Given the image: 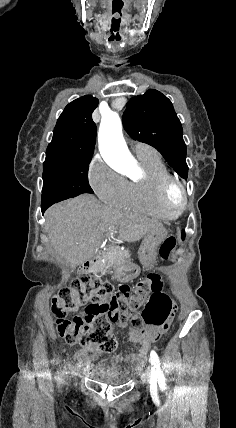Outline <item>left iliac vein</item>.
Returning a JSON list of instances; mask_svg holds the SVG:
<instances>
[{"label":"left iliac vein","instance_id":"obj_1","mask_svg":"<svg viewBox=\"0 0 236 428\" xmlns=\"http://www.w3.org/2000/svg\"><path fill=\"white\" fill-rule=\"evenodd\" d=\"M147 370H150V367H147Z\"/></svg>","mask_w":236,"mask_h":428}]
</instances>
